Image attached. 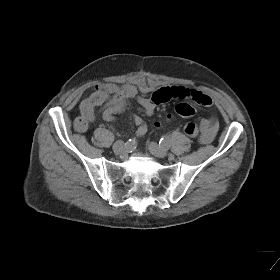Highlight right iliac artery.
Returning <instances> with one entry per match:
<instances>
[{
    "instance_id": "82829eb1",
    "label": "right iliac artery",
    "mask_w": 280,
    "mask_h": 280,
    "mask_svg": "<svg viewBox=\"0 0 280 280\" xmlns=\"http://www.w3.org/2000/svg\"><path fill=\"white\" fill-rule=\"evenodd\" d=\"M125 150L127 152H132L136 149L137 147V141L135 138L129 139L126 143H125Z\"/></svg>"
}]
</instances>
